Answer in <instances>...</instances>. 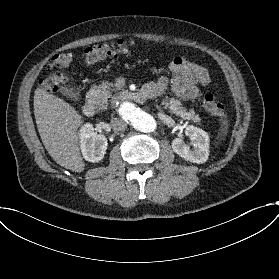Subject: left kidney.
I'll return each instance as SVG.
<instances>
[{
  "label": "left kidney",
  "mask_w": 279,
  "mask_h": 279,
  "mask_svg": "<svg viewBox=\"0 0 279 279\" xmlns=\"http://www.w3.org/2000/svg\"><path fill=\"white\" fill-rule=\"evenodd\" d=\"M185 135L190 138V145L193 146V150L184 143L183 139L175 138L172 141L173 151L192 163H205L209 157L210 139L208 133L193 125H188L185 129Z\"/></svg>",
  "instance_id": "left-kidney-1"
}]
</instances>
